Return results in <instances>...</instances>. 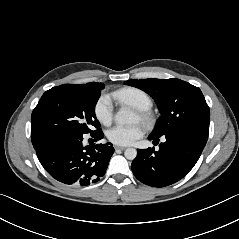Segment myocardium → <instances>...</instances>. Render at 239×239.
Here are the masks:
<instances>
[{
	"label": "myocardium",
	"instance_id": "obj_1",
	"mask_svg": "<svg viewBox=\"0 0 239 239\" xmlns=\"http://www.w3.org/2000/svg\"><path fill=\"white\" fill-rule=\"evenodd\" d=\"M139 119L145 124L151 123V116L147 111L138 110Z\"/></svg>",
	"mask_w": 239,
	"mask_h": 239
}]
</instances>
